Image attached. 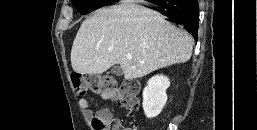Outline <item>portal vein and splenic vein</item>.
<instances>
[{"instance_id":"portal-vein-and-splenic-vein-1","label":"portal vein and splenic vein","mask_w":257,"mask_h":130,"mask_svg":"<svg viewBox=\"0 0 257 130\" xmlns=\"http://www.w3.org/2000/svg\"><path fill=\"white\" fill-rule=\"evenodd\" d=\"M126 58L127 59H132V55L131 54H126Z\"/></svg>"}]
</instances>
